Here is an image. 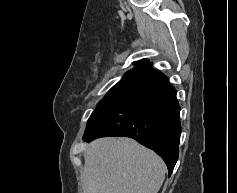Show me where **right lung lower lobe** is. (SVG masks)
<instances>
[{
	"instance_id": "1",
	"label": "right lung lower lobe",
	"mask_w": 237,
	"mask_h": 193,
	"mask_svg": "<svg viewBox=\"0 0 237 193\" xmlns=\"http://www.w3.org/2000/svg\"><path fill=\"white\" fill-rule=\"evenodd\" d=\"M179 111L174 87L150 64L140 85L128 97L90 116L83 138L86 141L106 136L133 138L164 160L170 176L179 154Z\"/></svg>"
}]
</instances>
